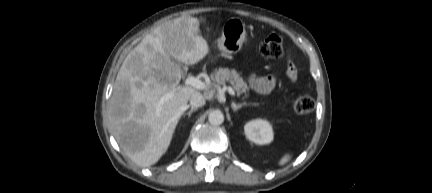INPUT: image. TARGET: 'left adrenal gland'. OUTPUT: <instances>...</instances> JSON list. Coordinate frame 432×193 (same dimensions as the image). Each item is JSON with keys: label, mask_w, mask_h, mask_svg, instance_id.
<instances>
[{"label": "left adrenal gland", "mask_w": 432, "mask_h": 193, "mask_svg": "<svg viewBox=\"0 0 432 193\" xmlns=\"http://www.w3.org/2000/svg\"><path fill=\"white\" fill-rule=\"evenodd\" d=\"M245 105H246L245 102H243V103H239V104H236V103L232 102L231 107H232V110H233L234 112H236V111L239 110L242 106H245Z\"/></svg>", "instance_id": "obj_1"}]
</instances>
